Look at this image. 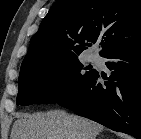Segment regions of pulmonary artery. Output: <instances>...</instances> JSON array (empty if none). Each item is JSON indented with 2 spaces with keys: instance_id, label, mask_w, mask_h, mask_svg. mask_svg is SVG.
Returning a JSON list of instances; mask_svg holds the SVG:
<instances>
[{
  "instance_id": "pulmonary-artery-1",
  "label": "pulmonary artery",
  "mask_w": 141,
  "mask_h": 139,
  "mask_svg": "<svg viewBox=\"0 0 141 139\" xmlns=\"http://www.w3.org/2000/svg\"><path fill=\"white\" fill-rule=\"evenodd\" d=\"M90 59L91 60H95L96 58H95V56H91Z\"/></svg>"
}]
</instances>
